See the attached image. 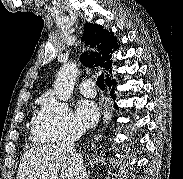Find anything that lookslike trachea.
I'll return each mask as SVG.
<instances>
[{"label":"trachea","instance_id":"trachea-1","mask_svg":"<svg viewBox=\"0 0 183 179\" xmlns=\"http://www.w3.org/2000/svg\"><path fill=\"white\" fill-rule=\"evenodd\" d=\"M97 86L101 89L104 90L105 84H104V74H100V76L97 78L96 81Z\"/></svg>","mask_w":183,"mask_h":179}]
</instances>
